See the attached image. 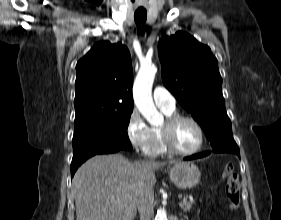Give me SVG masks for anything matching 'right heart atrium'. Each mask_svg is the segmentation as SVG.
Wrapping results in <instances>:
<instances>
[{
	"instance_id": "d8ad5b80",
	"label": "right heart atrium",
	"mask_w": 281,
	"mask_h": 220,
	"mask_svg": "<svg viewBox=\"0 0 281 220\" xmlns=\"http://www.w3.org/2000/svg\"><path fill=\"white\" fill-rule=\"evenodd\" d=\"M126 135L134 149L147 153L151 143V131L137 110H133L129 115Z\"/></svg>"
}]
</instances>
